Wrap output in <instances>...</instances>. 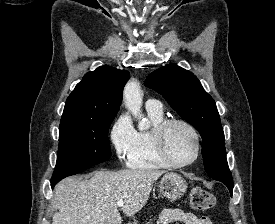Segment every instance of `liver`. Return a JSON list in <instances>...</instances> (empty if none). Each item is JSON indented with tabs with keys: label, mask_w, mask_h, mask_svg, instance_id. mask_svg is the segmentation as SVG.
<instances>
[{
	"label": "liver",
	"mask_w": 275,
	"mask_h": 224,
	"mask_svg": "<svg viewBox=\"0 0 275 224\" xmlns=\"http://www.w3.org/2000/svg\"><path fill=\"white\" fill-rule=\"evenodd\" d=\"M159 170L97 171L90 179L68 177L54 189L52 224H121L117 202L127 217L139 212L149 199Z\"/></svg>",
	"instance_id": "liver-1"
}]
</instances>
